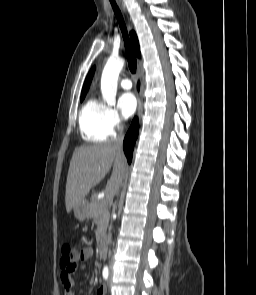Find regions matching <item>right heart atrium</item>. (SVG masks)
Here are the masks:
<instances>
[{"label": "right heart atrium", "mask_w": 256, "mask_h": 295, "mask_svg": "<svg viewBox=\"0 0 256 295\" xmlns=\"http://www.w3.org/2000/svg\"><path fill=\"white\" fill-rule=\"evenodd\" d=\"M105 118L108 132L111 136H114L123 126L118 111L113 107H107Z\"/></svg>", "instance_id": "right-heart-atrium-1"}]
</instances>
